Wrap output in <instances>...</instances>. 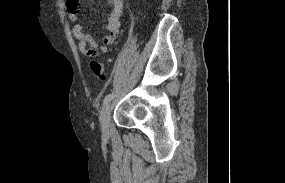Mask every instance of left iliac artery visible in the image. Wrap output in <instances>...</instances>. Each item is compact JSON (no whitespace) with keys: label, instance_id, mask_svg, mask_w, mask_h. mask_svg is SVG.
Returning <instances> with one entry per match:
<instances>
[{"label":"left iliac artery","instance_id":"left-iliac-artery-1","mask_svg":"<svg viewBox=\"0 0 285 183\" xmlns=\"http://www.w3.org/2000/svg\"><path fill=\"white\" fill-rule=\"evenodd\" d=\"M113 97H114L113 93H110V94L106 95L104 100H103L104 105L107 104L108 102H110Z\"/></svg>","mask_w":285,"mask_h":183}]
</instances>
